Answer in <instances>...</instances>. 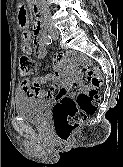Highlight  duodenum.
Instances as JSON below:
<instances>
[{
	"instance_id": "1",
	"label": "duodenum",
	"mask_w": 123,
	"mask_h": 167,
	"mask_svg": "<svg viewBox=\"0 0 123 167\" xmlns=\"http://www.w3.org/2000/svg\"><path fill=\"white\" fill-rule=\"evenodd\" d=\"M33 11L36 14V16L39 18L38 25H40V27L42 28V26H43V11H42L40 2L38 0H34Z\"/></svg>"
}]
</instances>
